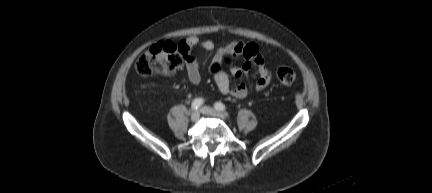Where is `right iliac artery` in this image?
Here are the masks:
<instances>
[{
  "instance_id": "1",
  "label": "right iliac artery",
  "mask_w": 432,
  "mask_h": 193,
  "mask_svg": "<svg viewBox=\"0 0 432 193\" xmlns=\"http://www.w3.org/2000/svg\"><path fill=\"white\" fill-rule=\"evenodd\" d=\"M204 100L202 98H196L193 100L192 104H191V108L193 110H197L201 105H203Z\"/></svg>"
}]
</instances>
